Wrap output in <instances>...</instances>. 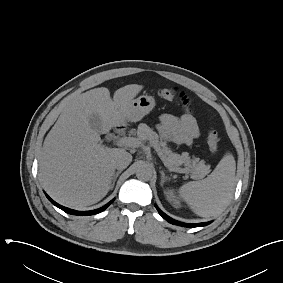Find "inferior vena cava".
Listing matches in <instances>:
<instances>
[{
	"mask_svg": "<svg viewBox=\"0 0 283 283\" xmlns=\"http://www.w3.org/2000/svg\"><path fill=\"white\" fill-rule=\"evenodd\" d=\"M131 161H132V155L126 151H122L115 156L113 163H114V167L117 170L121 171L125 169L131 163Z\"/></svg>",
	"mask_w": 283,
	"mask_h": 283,
	"instance_id": "1",
	"label": "inferior vena cava"
}]
</instances>
